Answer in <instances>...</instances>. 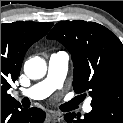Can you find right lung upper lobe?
I'll return each instance as SVG.
<instances>
[{"mask_svg":"<svg viewBox=\"0 0 123 123\" xmlns=\"http://www.w3.org/2000/svg\"><path fill=\"white\" fill-rule=\"evenodd\" d=\"M53 23L18 21L1 24V103L17 102L7 90L18 78L29 47L47 34Z\"/></svg>","mask_w":123,"mask_h":123,"instance_id":"cb5924a9","label":"right lung upper lobe"}]
</instances>
